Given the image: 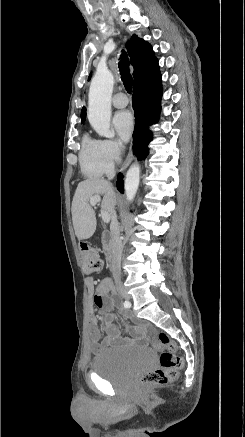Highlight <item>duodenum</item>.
<instances>
[{"instance_id":"obj_1","label":"duodenum","mask_w":245,"mask_h":437,"mask_svg":"<svg viewBox=\"0 0 245 437\" xmlns=\"http://www.w3.org/2000/svg\"><path fill=\"white\" fill-rule=\"evenodd\" d=\"M110 242H111V234L107 231H104L102 234V244H103V253L107 261H111L112 259Z\"/></svg>"}]
</instances>
